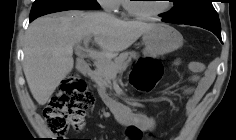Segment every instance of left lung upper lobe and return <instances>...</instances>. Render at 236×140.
I'll return each instance as SVG.
<instances>
[{
	"instance_id": "1",
	"label": "left lung upper lobe",
	"mask_w": 236,
	"mask_h": 140,
	"mask_svg": "<svg viewBox=\"0 0 236 140\" xmlns=\"http://www.w3.org/2000/svg\"><path fill=\"white\" fill-rule=\"evenodd\" d=\"M174 8L166 12L168 22L200 26L221 31V25L212 0H173Z\"/></svg>"
}]
</instances>
